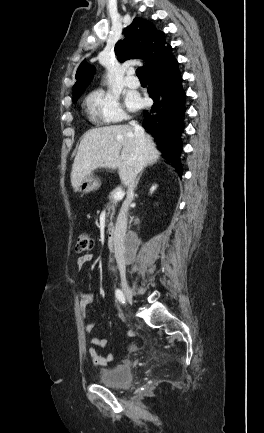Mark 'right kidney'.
Instances as JSON below:
<instances>
[{
	"instance_id": "right-kidney-1",
	"label": "right kidney",
	"mask_w": 264,
	"mask_h": 433,
	"mask_svg": "<svg viewBox=\"0 0 264 433\" xmlns=\"http://www.w3.org/2000/svg\"><path fill=\"white\" fill-rule=\"evenodd\" d=\"M155 189H156V186H152L151 189H150L151 193H152Z\"/></svg>"
}]
</instances>
